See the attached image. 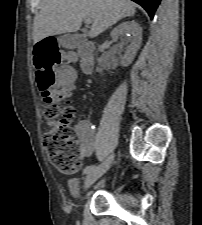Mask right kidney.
Wrapping results in <instances>:
<instances>
[{
  "label": "right kidney",
  "mask_w": 202,
  "mask_h": 225,
  "mask_svg": "<svg viewBox=\"0 0 202 225\" xmlns=\"http://www.w3.org/2000/svg\"><path fill=\"white\" fill-rule=\"evenodd\" d=\"M113 39L121 38L120 46H126L125 55L121 57V64L128 66L141 46L142 28L136 21H126L119 24L111 32Z\"/></svg>",
  "instance_id": "right-kidney-1"
}]
</instances>
